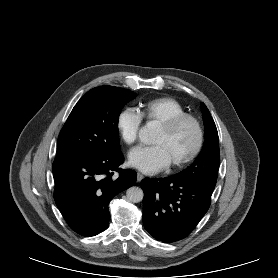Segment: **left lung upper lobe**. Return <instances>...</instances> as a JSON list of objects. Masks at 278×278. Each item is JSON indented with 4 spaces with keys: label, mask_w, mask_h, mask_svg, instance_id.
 <instances>
[{
    "label": "left lung upper lobe",
    "mask_w": 278,
    "mask_h": 278,
    "mask_svg": "<svg viewBox=\"0 0 278 278\" xmlns=\"http://www.w3.org/2000/svg\"><path fill=\"white\" fill-rule=\"evenodd\" d=\"M201 110L205 127V143L194 163L172 177L179 180H196L216 185L220 164L219 138L216 125L204 103Z\"/></svg>",
    "instance_id": "left-lung-upper-lobe-1"
}]
</instances>
